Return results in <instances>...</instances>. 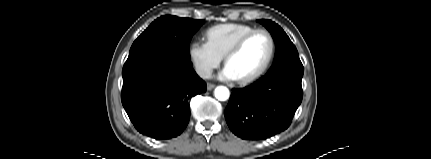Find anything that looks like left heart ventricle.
<instances>
[{
  "instance_id": "left-heart-ventricle-1",
  "label": "left heart ventricle",
  "mask_w": 431,
  "mask_h": 159,
  "mask_svg": "<svg viewBox=\"0 0 431 159\" xmlns=\"http://www.w3.org/2000/svg\"><path fill=\"white\" fill-rule=\"evenodd\" d=\"M269 52V38L263 33H258L252 36L243 49L228 61L227 66L237 79L244 78L261 68Z\"/></svg>"
}]
</instances>
